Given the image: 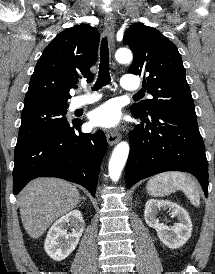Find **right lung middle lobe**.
<instances>
[{"label": "right lung middle lobe", "mask_w": 215, "mask_h": 274, "mask_svg": "<svg viewBox=\"0 0 215 274\" xmlns=\"http://www.w3.org/2000/svg\"><path fill=\"white\" fill-rule=\"evenodd\" d=\"M67 108V104H43L23 109L15 150L38 135L67 124Z\"/></svg>", "instance_id": "obj_1"}]
</instances>
